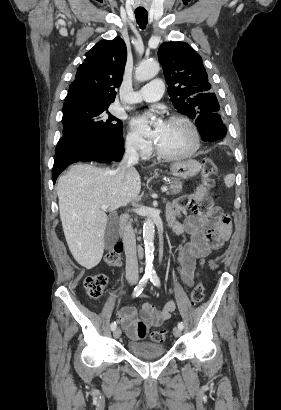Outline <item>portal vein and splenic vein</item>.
<instances>
[{"instance_id": "portal-vein-and-splenic-vein-1", "label": "portal vein and splenic vein", "mask_w": 281, "mask_h": 410, "mask_svg": "<svg viewBox=\"0 0 281 410\" xmlns=\"http://www.w3.org/2000/svg\"><path fill=\"white\" fill-rule=\"evenodd\" d=\"M161 191H162V192H167V191H168V187H167V186L161 187ZM107 208H108V206H102V207H101L102 210H106Z\"/></svg>"}]
</instances>
